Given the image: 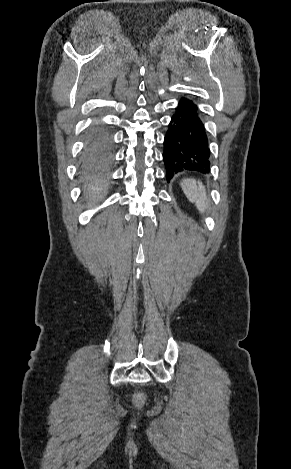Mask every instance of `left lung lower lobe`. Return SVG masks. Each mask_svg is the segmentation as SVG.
<instances>
[{"label": "left lung lower lobe", "mask_w": 291, "mask_h": 469, "mask_svg": "<svg viewBox=\"0 0 291 469\" xmlns=\"http://www.w3.org/2000/svg\"><path fill=\"white\" fill-rule=\"evenodd\" d=\"M210 149L204 125L197 107L182 98L171 118L164 139L163 159L169 181L181 171H210Z\"/></svg>", "instance_id": "left-lung-lower-lobe-1"}]
</instances>
